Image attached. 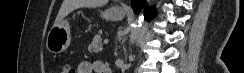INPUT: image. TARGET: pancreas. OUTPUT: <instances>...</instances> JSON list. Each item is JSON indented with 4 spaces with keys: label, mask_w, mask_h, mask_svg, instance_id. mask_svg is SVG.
Here are the masks:
<instances>
[{
    "label": "pancreas",
    "mask_w": 244,
    "mask_h": 73,
    "mask_svg": "<svg viewBox=\"0 0 244 73\" xmlns=\"http://www.w3.org/2000/svg\"><path fill=\"white\" fill-rule=\"evenodd\" d=\"M102 38L100 35H96L93 38V41L91 42V44L88 46V51L90 53H100L103 50L102 47Z\"/></svg>",
    "instance_id": "cf45deb5"
}]
</instances>
